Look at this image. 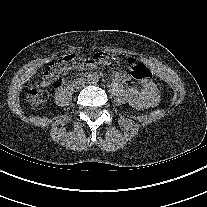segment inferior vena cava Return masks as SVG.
<instances>
[{"mask_svg": "<svg viewBox=\"0 0 207 207\" xmlns=\"http://www.w3.org/2000/svg\"><path fill=\"white\" fill-rule=\"evenodd\" d=\"M72 87L81 88L85 85V79L84 78H78L77 80H74L72 82Z\"/></svg>", "mask_w": 207, "mask_h": 207, "instance_id": "602c4592", "label": "inferior vena cava"}]
</instances>
